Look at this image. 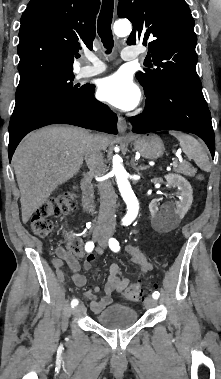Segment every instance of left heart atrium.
<instances>
[{"label":"left heart atrium","instance_id":"39dd6f15","mask_svg":"<svg viewBox=\"0 0 221 379\" xmlns=\"http://www.w3.org/2000/svg\"><path fill=\"white\" fill-rule=\"evenodd\" d=\"M97 94L100 100L121 110H131L140 100V91L124 73H115L102 79Z\"/></svg>","mask_w":221,"mask_h":379}]
</instances>
